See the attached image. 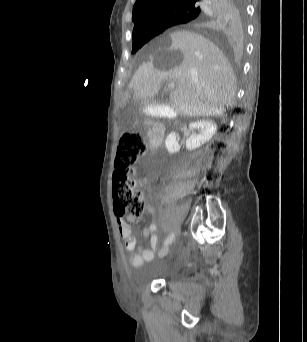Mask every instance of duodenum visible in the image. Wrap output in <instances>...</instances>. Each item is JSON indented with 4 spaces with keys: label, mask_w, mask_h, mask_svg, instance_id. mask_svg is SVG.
Segmentation results:
<instances>
[{
    "label": "duodenum",
    "mask_w": 307,
    "mask_h": 342,
    "mask_svg": "<svg viewBox=\"0 0 307 342\" xmlns=\"http://www.w3.org/2000/svg\"><path fill=\"white\" fill-rule=\"evenodd\" d=\"M155 121L153 118L150 120ZM165 139V128L162 124L155 122L152 124L149 134V148L152 153H155L161 148Z\"/></svg>",
    "instance_id": "obj_1"
}]
</instances>
